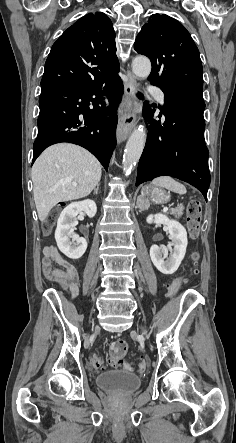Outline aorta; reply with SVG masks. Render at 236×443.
<instances>
[{
	"mask_svg": "<svg viewBox=\"0 0 236 443\" xmlns=\"http://www.w3.org/2000/svg\"><path fill=\"white\" fill-rule=\"evenodd\" d=\"M132 71L140 78H147L151 72V62L145 56H137L132 61ZM146 133L143 127L136 128L129 137L123 156L124 172L130 173L139 161L144 149Z\"/></svg>",
	"mask_w": 236,
	"mask_h": 443,
	"instance_id": "obj_1",
	"label": "aorta"
}]
</instances>
